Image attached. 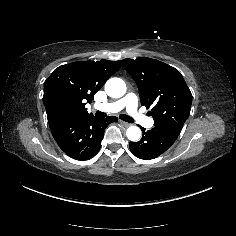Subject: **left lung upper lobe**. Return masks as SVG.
<instances>
[{
	"mask_svg": "<svg viewBox=\"0 0 236 236\" xmlns=\"http://www.w3.org/2000/svg\"><path fill=\"white\" fill-rule=\"evenodd\" d=\"M123 67L138 86L141 104L153 105L154 125L182 129L189 117L192 94L181 73L158 60L140 57L124 59Z\"/></svg>",
	"mask_w": 236,
	"mask_h": 236,
	"instance_id": "5c2ea615",
	"label": "left lung upper lobe"
}]
</instances>
